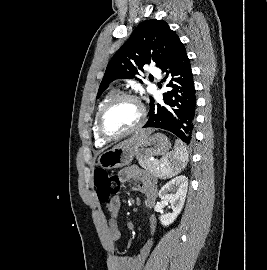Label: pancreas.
Here are the masks:
<instances>
[{
    "label": "pancreas",
    "instance_id": "1",
    "mask_svg": "<svg viewBox=\"0 0 267 270\" xmlns=\"http://www.w3.org/2000/svg\"><path fill=\"white\" fill-rule=\"evenodd\" d=\"M140 166L148 173L153 175L154 177H158L160 175L159 171V161L154 160L151 161L149 158L139 159Z\"/></svg>",
    "mask_w": 267,
    "mask_h": 270
}]
</instances>
